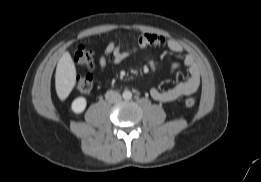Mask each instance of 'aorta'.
<instances>
[{"label": "aorta", "instance_id": "1", "mask_svg": "<svg viewBox=\"0 0 261 182\" xmlns=\"http://www.w3.org/2000/svg\"><path fill=\"white\" fill-rule=\"evenodd\" d=\"M123 98H124L125 100L131 99V98H132V93H131V91L125 90V91L123 92Z\"/></svg>", "mask_w": 261, "mask_h": 182}]
</instances>
